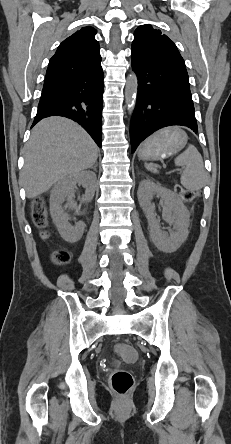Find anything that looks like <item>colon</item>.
Returning a JSON list of instances; mask_svg holds the SVG:
<instances>
[{
	"instance_id": "1",
	"label": "colon",
	"mask_w": 231,
	"mask_h": 444,
	"mask_svg": "<svg viewBox=\"0 0 231 444\" xmlns=\"http://www.w3.org/2000/svg\"><path fill=\"white\" fill-rule=\"evenodd\" d=\"M175 192L185 201L189 202L195 199L196 193L182 188L176 184L174 186ZM32 214L35 223L43 227L46 222V213L42 200L37 199L32 208ZM71 256L69 252L65 250L57 251L53 260L58 265H65L70 262ZM116 353L118 357L124 362H132L136 358V352L134 348L128 344L120 343L116 346ZM110 384L115 393L120 396H126L133 388L134 378L127 370L116 368L113 370L110 376Z\"/></svg>"
}]
</instances>
